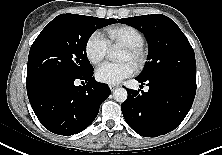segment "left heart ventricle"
Returning <instances> with one entry per match:
<instances>
[{
    "mask_svg": "<svg viewBox=\"0 0 222 155\" xmlns=\"http://www.w3.org/2000/svg\"><path fill=\"white\" fill-rule=\"evenodd\" d=\"M120 61H128L130 63L133 64V59L132 57L129 55V53L125 50L122 51V54L120 56Z\"/></svg>",
    "mask_w": 222,
    "mask_h": 155,
    "instance_id": "obj_1",
    "label": "left heart ventricle"
}]
</instances>
